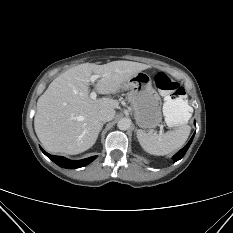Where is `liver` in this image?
Masks as SVG:
<instances>
[{
	"label": "liver",
	"instance_id": "1",
	"mask_svg": "<svg viewBox=\"0 0 233 233\" xmlns=\"http://www.w3.org/2000/svg\"><path fill=\"white\" fill-rule=\"evenodd\" d=\"M146 64L113 61L104 65L84 63L56 77L37 101L34 128L44 148L53 153L75 155L91 148L101 130V109H115L118 100L91 99L89 82L92 73L101 75L95 84L99 94H114Z\"/></svg>",
	"mask_w": 233,
	"mask_h": 233
}]
</instances>
